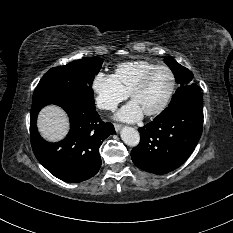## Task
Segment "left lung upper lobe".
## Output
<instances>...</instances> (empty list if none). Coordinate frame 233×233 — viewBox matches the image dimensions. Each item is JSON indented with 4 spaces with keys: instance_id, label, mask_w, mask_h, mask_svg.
<instances>
[{
    "instance_id": "left-lung-upper-lobe-1",
    "label": "left lung upper lobe",
    "mask_w": 233,
    "mask_h": 233,
    "mask_svg": "<svg viewBox=\"0 0 233 233\" xmlns=\"http://www.w3.org/2000/svg\"><path fill=\"white\" fill-rule=\"evenodd\" d=\"M164 62L170 67L172 72L174 73L175 80L180 84V87L176 90L173 95L169 106L163 110L159 116H164L168 114L174 106L181 103L186 98L195 95L201 94L198 86L193 83V74L190 70L183 67L179 63L176 62L175 59L167 57L164 59Z\"/></svg>"
}]
</instances>
